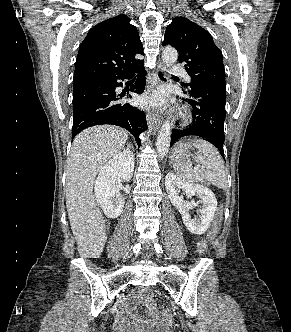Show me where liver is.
<instances>
[{"instance_id":"liver-1","label":"liver","mask_w":291,"mask_h":332,"mask_svg":"<svg viewBox=\"0 0 291 332\" xmlns=\"http://www.w3.org/2000/svg\"><path fill=\"white\" fill-rule=\"evenodd\" d=\"M128 134L122 128H87L73 140L66 171V207L70 226L84 258H99L106 241V225L93 195L97 174L123 149Z\"/></svg>"}]
</instances>
